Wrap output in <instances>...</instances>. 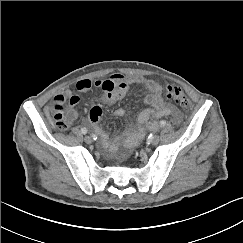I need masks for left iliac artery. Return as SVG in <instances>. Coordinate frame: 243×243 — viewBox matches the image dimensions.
Wrapping results in <instances>:
<instances>
[{"instance_id": "44dca946", "label": "left iliac artery", "mask_w": 243, "mask_h": 243, "mask_svg": "<svg viewBox=\"0 0 243 243\" xmlns=\"http://www.w3.org/2000/svg\"><path fill=\"white\" fill-rule=\"evenodd\" d=\"M166 125V121L162 120L160 121V127H164ZM154 137V135H150L149 138L152 139Z\"/></svg>"}]
</instances>
